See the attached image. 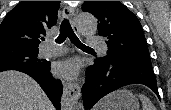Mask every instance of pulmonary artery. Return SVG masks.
Segmentation results:
<instances>
[{"label": "pulmonary artery", "mask_w": 171, "mask_h": 110, "mask_svg": "<svg viewBox=\"0 0 171 110\" xmlns=\"http://www.w3.org/2000/svg\"><path fill=\"white\" fill-rule=\"evenodd\" d=\"M88 43L98 48L103 54H106L108 51L105 42L99 37L88 35ZM46 46L47 48L42 51L43 56L52 57L63 53V48L56 46L50 39L46 41Z\"/></svg>", "instance_id": "obj_1"}]
</instances>
